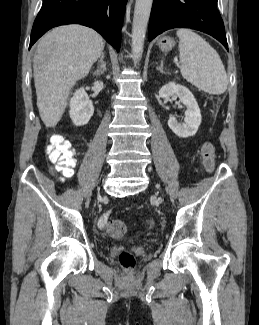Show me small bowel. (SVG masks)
Wrapping results in <instances>:
<instances>
[{
    "label": "small bowel",
    "mask_w": 259,
    "mask_h": 325,
    "mask_svg": "<svg viewBox=\"0 0 259 325\" xmlns=\"http://www.w3.org/2000/svg\"><path fill=\"white\" fill-rule=\"evenodd\" d=\"M107 219H108V215L107 214L102 215L100 217V219H99V226L103 228L104 225H105V223H106V221H107Z\"/></svg>",
    "instance_id": "c3829d8e"
}]
</instances>
